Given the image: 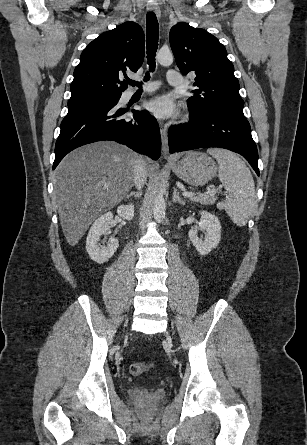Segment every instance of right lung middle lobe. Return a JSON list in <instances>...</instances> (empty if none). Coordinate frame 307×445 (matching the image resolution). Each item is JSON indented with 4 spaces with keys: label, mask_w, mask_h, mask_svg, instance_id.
<instances>
[{
    "label": "right lung middle lobe",
    "mask_w": 307,
    "mask_h": 445,
    "mask_svg": "<svg viewBox=\"0 0 307 445\" xmlns=\"http://www.w3.org/2000/svg\"><path fill=\"white\" fill-rule=\"evenodd\" d=\"M120 96H98V97H91L86 99H80V100H72L68 102V106L77 104V103H83V102H89V101H97V100H116L118 101Z\"/></svg>",
    "instance_id": "dd1d6c3e"
}]
</instances>
